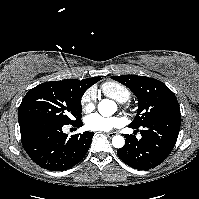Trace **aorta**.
<instances>
[{
	"instance_id": "1",
	"label": "aorta",
	"mask_w": 199,
	"mask_h": 199,
	"mask_svg": "<svg viewBox=\"0 0 199 199\" xmlns=\"http://www.w3.org/2000/svg\"><path fill=\"white\" fill-rule=\"evenodd\" d=\"M117 110V105L114 101L103 99L98 104V111L102 116L108 117L114 114ZM125 144V139L121 135H116L112 138V145L115 148H122Z\"/></svg>"
}]
</instances>
